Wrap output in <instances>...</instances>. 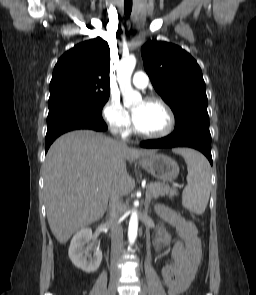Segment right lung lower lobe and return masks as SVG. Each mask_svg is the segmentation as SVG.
Segmentation results:
<instances>
[{
  "instance_id": "obj_1",
  "label": "right lung lower lobe",
  "mask_w": 256,
  "mask_h": 295,
  "mask_svg": "<svg viewBox=\"0 0 256 295\" xmlns=\"http://www.w3.org/2000/svg\"><path fill=\"white\" fill-rule=\"evenodd\" d=\"M47 134L45 140V150L61 134L76 129H92L95 131H105L107 125L102 117H74V116H57L47 120Z\"/></svg>"
}]
</instances>
